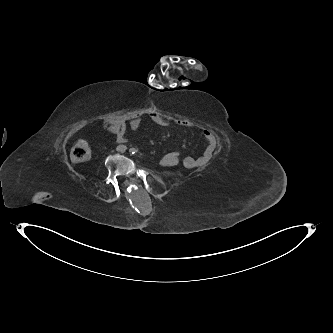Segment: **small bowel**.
Segmentation results:
<instances>
[{
  "label": "small bowel",
  "mask_w": 333,
  "mask_h": 333,
  "mask_svg": "<svg viewBox=\"0 0 333 333\" xmlns=\"http://www.w3.org/2000/svg\"><path fill=\"white\" fill-rule=\"evenodd\" d=\"M148 116L152 122L159 126H168L171 123L169 118L158 112H151L148 114ZM141 122L142 115L138 113H133L128 115L111 117L103 122L102 128L106 132L114 135L116 137V141L119 144H124L128 141V132L137 131L140 128ZM178 124L187 128L194 127V125L188 121H179ZM203 137L206 141V147L200 156L192 157L180 155L177 160L168 161L166 164H163L160 161L161 165L165 167H173L178 164H182L187 169H197L205 166L212 158L213 151L216 145V137L214 133L208 129H205L203 131Z\"/></svg>",
  "instance_id": "1"
}]
</instances>
